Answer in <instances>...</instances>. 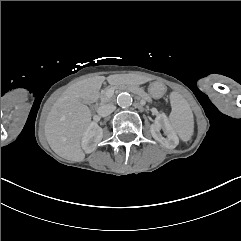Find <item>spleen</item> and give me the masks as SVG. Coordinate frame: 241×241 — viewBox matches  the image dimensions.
Here are the masks:
<instances>
[{
  "mask_svg": "<svg viewBox=\"0 0 241 241\" xmlns=\"http://www.w3.org/2000/svg\"><path fill=\"white\" fill-rule=\"evenodd\" d=\"M169 99L171 104V112L168 117L169 123L180 141L187 143L194 133L192 109L177 91L170 92Z\"/></svg>",
  "mask_w": 241,
  "mask_h": 241,
  "instance_id": "1",
  "label": "spleen"
}]
</instances>
